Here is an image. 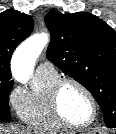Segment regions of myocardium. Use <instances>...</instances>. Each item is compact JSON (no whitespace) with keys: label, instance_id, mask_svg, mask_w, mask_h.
<instances>
[{"label":"myocardium","instance_id":"myocardium-1","mask_svg":"<svg viewBox=\"0 0 116 134\" xmlns=\"http://www.w3.org/2000/svg\"><path fill=\"white\" fill-rule=\"evenodd\" d=\"M66 85H74L81 89L89 98L92 106V115L91 118L85 123H74L68 120L62 110L60 105V97L62 90ZM51 106L55 117L66 127L74 129H84L91 126L98 117V103L93 93L80 81L73 78H60L53 86L51 90Z\"/></svg>","mask_w":116,"mask_h":134}]
</instances>
